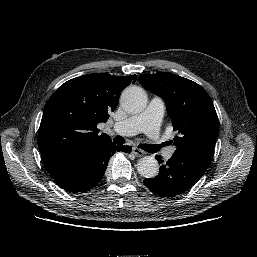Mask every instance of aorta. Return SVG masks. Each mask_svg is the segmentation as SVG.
I'll list each match as a JSON object with an SVG mask.
<instances>
[{
  "label": "aorta",
  "instance_id": "obj_1",
  "mask_svg": "<svg viewBox=\"0 0 257 257\" xmlns=\"http://www.w3.org/2000/svg\"><path fill=\"white\" fill-rule=\"evenodd\" d=\"M122 108L130 113H140L147 105L145 91L137 86L126 88L121 97ZM138 173L145 178H154L159 172L158 161L153 156L142 157L137 164Z\"/></svg>",
  "mask_w": 257,
  "mask_h": 257
}]
</instances>
